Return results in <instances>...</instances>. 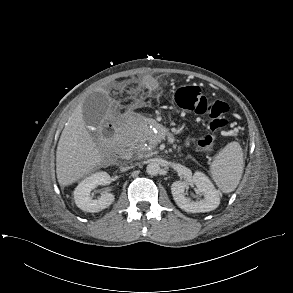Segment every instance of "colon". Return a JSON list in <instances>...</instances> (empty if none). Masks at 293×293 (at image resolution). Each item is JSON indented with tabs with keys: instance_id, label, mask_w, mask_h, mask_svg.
Masks as SVG:
<instances>
[{
	"instance_id": "obj_1",
	"label": "colon",
	"mask_w": 293,
	"mask_h": 293,
	"mask_svg": "<svg viewBox=\"0 0 293 293\" xmlns=\"http://www.w3.org/2000/svg\"><path fill=\"white\" fill-rule=\"evenodd\" d=\"M129 86V84H121L122 89L129 88ZM174 100L183 110L197 115L206 114L210 117L209 129L213 134L203 136L198 144L202 149L212 151L214 133L228 125V104L221 100L208 99L199 87L192 85L179 87L174 93ZM106 133L111 135L112 131L107 129Z\"/></svg>"
}]
</instances>
